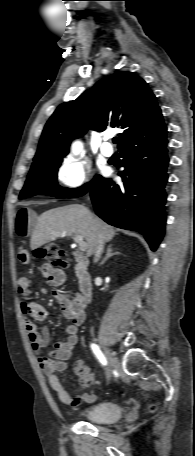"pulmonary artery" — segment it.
Here are the masks:
<instances>
[{
    "label": "pulmonary artery",
    "instance_id": "pulmonary-artery-1",
    "mask_svg": "<svg viewBox=\"0 0 195 456\" xmlns=\"http://www.w3.org/2000/svg\"><path fill=\"white\" fill-rule=\"evenodd\" d=\"M108 140H109V137L106 136L104 138V142L102 143V145L100 147V151L105 157H111L113 154V148L110 145Z\"/></svg>",
    "mask_w": 195,
    "mask_h": 456
}]
</instances>
